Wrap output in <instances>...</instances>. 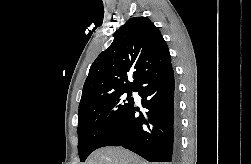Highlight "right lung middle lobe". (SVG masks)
Listing matches in <instances>:
<instances>
[{
  "instance_id": "obj_1",
  "label": "right lung middle lobe",
  "mask_w": 251,
  "mask_h": 164,
  "mask_svg": "<svg viewBox=\"0 0 251 164\" xmlns=\"http://www.w3.org/2000/svg\"><path fill=\"white\" fill-rule=\"evenodd\" d=\"M132 91L136 90L110 93L79 108L78 153L81 162L98 148L105 136L134 105Z\"/></svg>"
}]
</instances>
